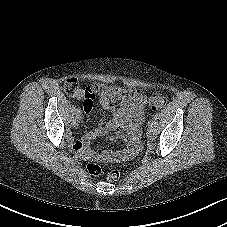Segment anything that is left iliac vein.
Wrapping results in <instances>:
<instances>
[{
	"label": "left iliac vein",
	"mask_w": 227,
	"mask_h": 227,
	"mask_svg": "<svg viewBox=\"0 0 227 227\" xmlns=\"http://www.w3.org/2000/svg\"><path fill=\"white\" fill-rule=\"evenodd\" d=\"M147 136L150 139H154L155 138V131H154V129L152 127H149L147 129Z\"/></svg>",
	"instance_id": "4c4485c4"
}]
</instances>
